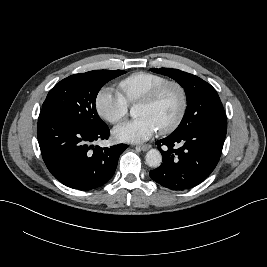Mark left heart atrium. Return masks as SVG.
Listing matches in <instances>:
<instances>
[{"instance_id": "1", "label": "left heart atrium", "mask_w": 267, "mask_h": 267, "mask_svg": "<svg viewBox=\"0 0 267 267\" xmlns=\"http://www.w3.org/2000/svg\"><path fill=\"white\" fill-rule=\"evenodd\" d=\"M157 131V126L149 117L140 116L116 127L113 135L122 142L140 143L151 138Z\"/></svg>"}]
</instances>
